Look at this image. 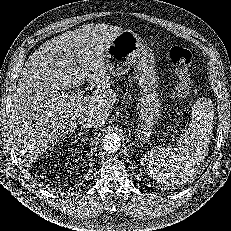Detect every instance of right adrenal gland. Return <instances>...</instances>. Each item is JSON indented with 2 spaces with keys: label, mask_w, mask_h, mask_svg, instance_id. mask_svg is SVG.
Listing matches in <instances>:
<instances>
[{
  "label": "right adrenal gland",
  "mask_w": 231,
  "mask_h": 231,
  "mask_svg": "<svg viewBox=\"0 0 231 231\" xmlns=\"http://www.w3.org/2000/svg\"><path fill=\"white\" fill-rule=\"evenodd\" d=\"M75 132V131H74ZM89 132V130H80V131H78L77 132V134L74 136L75 138L77 137V136H84V135H86L87 133Z\"/></svg>",
  "instance_id": "obj_1"
}]
</instances>
